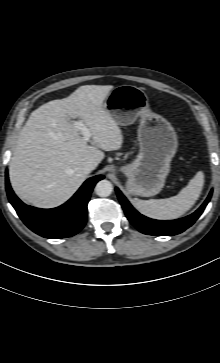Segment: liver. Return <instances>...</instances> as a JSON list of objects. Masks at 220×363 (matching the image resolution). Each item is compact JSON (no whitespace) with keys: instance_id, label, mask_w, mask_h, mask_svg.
<instances>
[{"instance_id":"1","label":"liver","mask_w":220,"mask_h":363,"mask_svg":"<svg viewBox=\"0 0 220 363\" xmlns=\"http://www.w3.org/2000/svg\"><path fill=\"white\" fill-rule=\"evenodd\" d=\"M113 88L80 86L68 97L49 101L31 113L9 163L10 183L19 198L39 208L57 207L85 181L84 163L97 166L104 159L103 151L121 148V129L104 108ZM74 118L90 129L92 145L81 137Z\"/></svg>"}]
</instances>
